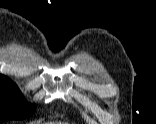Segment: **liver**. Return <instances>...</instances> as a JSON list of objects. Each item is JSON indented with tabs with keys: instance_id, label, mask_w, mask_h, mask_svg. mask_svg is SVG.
I'll return each instance as SVG.
<instances>
[{
	"instance_id": "6515ba94",
	"label": "liver",
	"mask_w": 156,
	"mask_h": 124,
	"mask_svg": "<svg viewBox=\"0 0 156 124\" xmlns=\"http://www.w3.org/2000/svg\"><path fill=\"white\" fill-rule=\"evenodd\" d=\"M48 124H66V123H64V122H50Z\"/></svg>"
}]
</instances>
